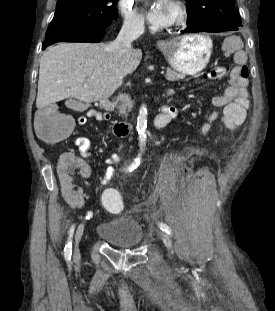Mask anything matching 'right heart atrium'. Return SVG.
<instances>
[{
	"label": "right heart atrium",
	"mask_w": 275,
	"mask_h": 311,
	"mask_svg": "<svg viewBox=\"0 0 275 311\" xmlns=\"http://www.w3.org/2000/svg\"><path fill=\"white\" fill-rule=\"evenodd\" d=\"M118 7L123 18V25L132 31L141 32L145 27L143 15L132 0H119Z\"/></svg>",
	"instance_id": "1"
}]
</instances>
